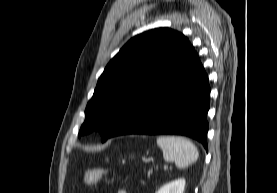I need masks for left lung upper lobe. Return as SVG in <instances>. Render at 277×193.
Wrapping results in <instances>:
<instances>
[{
  "label": "left lung upper lobe",
  "mask_w": 277,
  "mask_h": 193,
  "mask_svg": "<svg viewBox=\"0 0 277 193\" xmlns=\"http://www.w3.org/2000/svg\"><path fill=\"white\" fill-rule=\"evenodd\" d=\"M193 52L183 34L168 28L133 37L100 76L79 136L97 129L102 141L107 140L136 104L172 76Z\"/></svg>",
  "instance_id": "obj_1"
}]
</instances>
